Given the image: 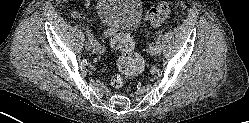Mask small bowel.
Wrapping results in <instances>:
<instances>
[{"label":"small bowel","instance_id":"obj_1","mask_svg":"<svg viewBox=\"0 0 249 123\" xmlns=\"http://www.w3.org/2000/svg\"><path fill=\"white\" fill-rule=\"evenodd\" d=\"M84 2H85L86 10L90 12L92 10V0H84ZM72 17L76 20L84 19V16L82 15V13L78 11L77 9H74L72 11Z\"/></svg>","mask_w":249,"mask_h":123}]
</instances>
